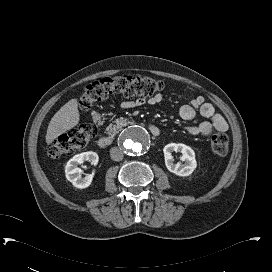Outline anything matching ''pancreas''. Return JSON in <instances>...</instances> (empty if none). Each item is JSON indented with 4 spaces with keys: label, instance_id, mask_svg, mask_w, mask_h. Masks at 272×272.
Here are the masks:
<instances>
[{
    "label": "pancreas",
    "instance_id": "1",
    "mask_svg": "<svg viewBox=\"0 0 272 272\" xmlns=\"http://www.w3.org/2000/svg\"><path fill=\"white\" fill-rule=\"evenodd\" d=\"M130 121L127 118H119L115 121V124H110L107 127V132L109 134H116L118 131H120L122 129L123 126H126L127 124H129Z\"/></svg>",
    "mask_w": 272,
    "mask_h": 272
}]
</instances>
